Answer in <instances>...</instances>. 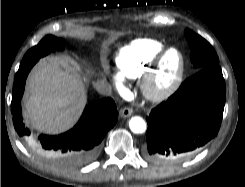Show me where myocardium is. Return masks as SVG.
<instances>
[{"instance_id":"f54148a6","label":"myocardium","mask_w":245,"mask_h":187,"mask_svg":"<svg viewBox=\"0 0 245 187\" xmlns=\"http://www.w3.org/2000/svg\"><path fill=\"white\" fill-rule=\"evenodd\" d=\"M176 52L179 57V66L171 81L163 87L156 85L161 71L163 60L170 52ZM185 72V58L180 49L174 46L164 48L156 57L152 66L141 78V91L146 99L152 102H163L170 98L180 87Z\"/></svg>"}]
</instances>
